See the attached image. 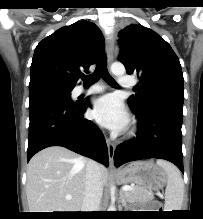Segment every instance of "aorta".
Returning a JSON list of instances; mask_svg holds the SVG:
<instances>
[{
  "label": "aorta",
  "instance_id": "762f6f07",
  "mask_svg": "<svg viewBox=\"0 0 203 219\" xmlns=\"http://www.w3.org/2000/svg\"><path fill=\"white\" fill-rule=\"evenodd\" d=\"M111 72L117 76V77H121L125 74V67L122 63H113L111 65Z\"/></svg>",
  "mask_w": 203,
  "mask_h": 219
}]
</instances>
